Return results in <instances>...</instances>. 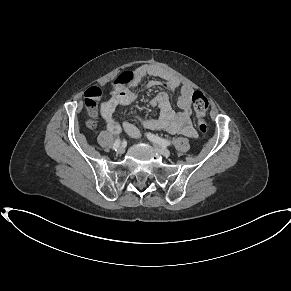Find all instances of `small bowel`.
I'll list each match as a JSON object with an SVG mask.
<instances>
[{"instance_id": "obj_1", "label": "small bowel", "mask_w": 291, "mask_h": 291, "mask_svg": "<svg viewBox=\"0 0 291 291\" xmlns=\"http://www.w3.org/2000/svg\"><path fill=\"white\" fill-rule=\"evenodd\" d=\"M146 76L161 79L167 91L159 93L150 102L151 106L159 109L160 115L158 118L137 115L136 119L146 128L195 138L197 133L190 120L193 88L189 85L181 84L175 76L155 64H144L138 67L132 73V79L126 85L114 84L111 90V97L99 103V114L104 120L107 130L117 134L123 129L131 137H141L140 130L127 121L120 122L116 118L115 111L118 106L128 105L134 100V92L130 87ZM157 83L156 80H151L149 85L155 86ZM178 87L177 105L179 110L176 111L171 106L170 92Z\"/></svg>"}]
</instances>
